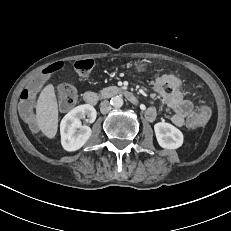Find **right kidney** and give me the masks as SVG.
I'll list each match as a JSON object with an SVG mask.
<instances>
[{
    "label": "right kidney",
    "mask_w": 231,
    "mask_h": 231,
    "mask_svg": "<svg viewBox=\"0 0 231 231\" xmlns=\"http://www.w3.org/2000/svg\"><path fill=\"white\" fill-rule=\"evenodd\" d=\"M97 112L92 105L84 104L73 108L61 121V144L68 152L79 150L90 138L92 130L89 126H82L81 119L93 123Z\"/></svg>",
    "instance_id": "right-kidney-1"
}]
</instances>
